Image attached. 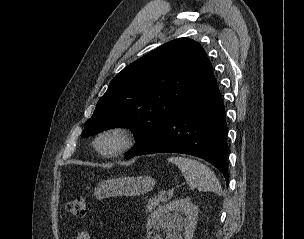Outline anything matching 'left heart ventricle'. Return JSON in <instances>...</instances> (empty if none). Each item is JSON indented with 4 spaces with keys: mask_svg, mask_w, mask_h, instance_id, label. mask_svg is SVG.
I'll return each instance as SVG.
<instances>
[{
    "mask_svg": "<svg viewBox=\"0 0 304 239\" xmlns=\"http://www.w3.org/2000/svg\"><path fill=\"white\" fill-rule=\"evenodd\" d=\"M115 144H116V140L114 138H108L102 142V146L105 149L112 148L113 146H115Z\"/></svg>",
    "mask_w": 304,
    "mask_h": 239,
    "instance_id": "1",
    "label": "left heart ventricle"
}]
</instances>
